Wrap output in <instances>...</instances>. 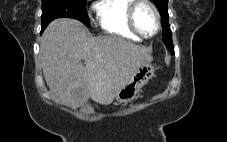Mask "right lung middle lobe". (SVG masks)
Masks as SVG:
<instances>
[{"label": "right lung middle lobe", "instance_id": "1", "mask_svg": "<svg viewBox=\"0 0 227 142\" xmlns=\"http://www.w3.org/2000/svg\"><path fill=\"white\" fill-rule=\"evenodd\" d=\"M87 0H42V31L56 18H73L90 24L86 12Z\"/></svg>", "mask_w": 227, "mask_h": 142}]
</instances>
